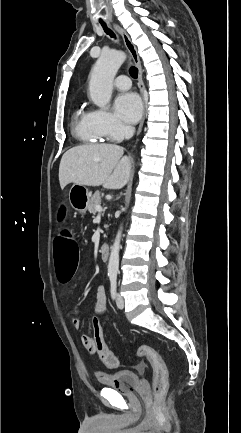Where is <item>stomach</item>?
Returning a JSON list of instances; mask_svg holds the SVG:
<instances>
[{"mask_svg":"<svg viewBox=\"0 0 241 433\" xmlns=\"http://www.w3.org/2000/svg\"><path fill=\"white\" fill-rule=\"evenodd\" d=\"M69 203L74 210L85 213L90 201V193L83 185L74 184L69 190Z\"/></svg>","mask_w":241,"mask_h":433,"instance_id":"1","label":"stomach"}]
</instances>
